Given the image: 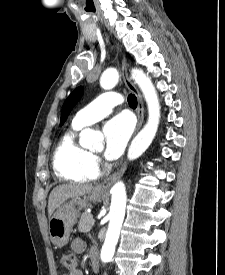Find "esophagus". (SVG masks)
Here are the masks:
<instances>
[{
	"label": "esophagus",
	"mask_w": 225,
	"mask_h": 275,
	"mask_svg": "<svg viewBox=\"0 0 225 275\" xmlns=\"http://www.w3.org/2000/svg\"><path fill=\"white\" fill-rule=\"evenodd\" d=\"M122 77H123L124 83L127 86V88L130 91H132L137 97V101H138L137 118H138V122H137L135 132H138L139 129L141 128V126L143 124V120H144V103H143V98H142V95H141L140 91L138 90L136 85L132 82L131 78L129 77L128 65H127L125 57H123V59H122ZM125 169H126V164H124L120 168V170H118L117 172L112 174L110 177H108L104 182L99 184L97 186V189H109L111 187V185L124 173Z\"/></svg>",
	"instance_id": "1"
}]
</instances>
